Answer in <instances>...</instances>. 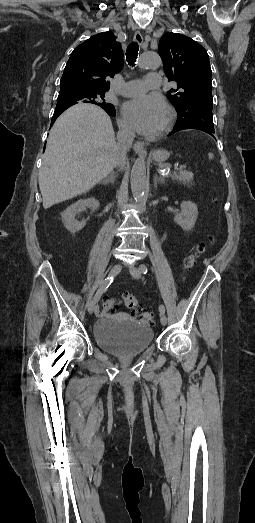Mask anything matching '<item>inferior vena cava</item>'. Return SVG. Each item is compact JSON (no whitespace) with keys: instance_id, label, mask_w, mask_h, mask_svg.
<instances>
[{"instance_id":"inferior-vena-cava-1","label":"inferior vena cava","mask_w":255,"mask_h":523,"mask_svg":"<svg viewBox=\"0 0 255 523\" xmlns=\"http://www.w3.org/2000/svg\"><path fill=\"white\" fill-rule=\"evenodd\" d=\"M134 138L135 134L129 130L128 126H125V124H119L116 150L119 154L117 166L120 168V170H122V168L125 166V156L127 154V150L131 148Z\"/></svg>"}]
</instances>
